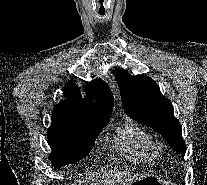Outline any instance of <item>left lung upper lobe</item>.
<instances>
[{
    "instance_id": "left-lung-upper-lobe-1",
    "label": "left lung upper lobe",
    "mask_w": 207,
    "mask_h": 185,
    "mask_svg": "<svg viewBox=\"0 0 207 185\" xmlns=\"http://www.w3.org/2000/svg\"><path fill=\"white\" fill-rule=\"evenodd\" d=\"M116 79L125 113L160 133L184 157L186 145L180 122L174 117L171 102L161 94L156 82L146 75L131 76L123 69L117 71Z\"/></svg>"
}]
</instances>
